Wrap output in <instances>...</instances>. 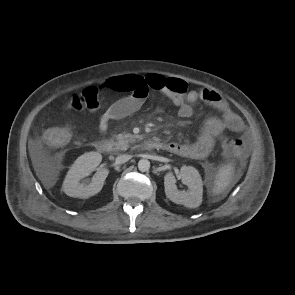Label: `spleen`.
Here are the masks:
<instances>
[{
    "mask_svg": "<svg viewBox=\"0 0 295 295\" xmlns=\"http://www.w3.org/2000/svg\"><path fill=\"white\" fill-rule=\"evenodd\" d=\"M233 173L234 167L231 164L224 165L219 169L214 181L213 194L218 195L226 189Z\"/></svg>",
    "mask_w": 295,
    "mask_h": 295,
    "instance_id": "spleen-1",
    "label": "spleen"
}]
</instances>
